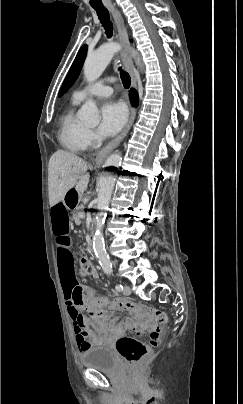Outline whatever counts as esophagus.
Segmentation results:
<instances>
[{
	"label": "esophagus",
	"mask_w": 243,
	"mask_h": 404,
	"mask_svg": "<svg viewBox=\"0 0 243 404\" xmlns=\"http://www.w3.org/2000/svg\"><path fill=\"white\" fill-rule=\"evenodd\" d=\"M108 8L113 15V18H114V21H115V24L117 27L118 40L123 45V50L121 52L122 62L131 76L133 88H137L136 71L134 69L133 62L126 49V47L128 45L127 28L125 26L123 17L121 15V13L119 12V10H117V8H115L114 6H111ZM135 118H136V109L133 108L131 110V114L128 119V122L126 123V125H125L124 129L122 130V132L120 133V135H118V137H116L115 139L111 140V142H109L107 145H105V147H103L97 153L96 158H95V162L97 165L102 164L105 157L109 154V152L111 150H113L115 147H117V145H119L120 142L126 137L130 128L132 127V124H133Z\"/></svg>",
	"instance_id": "1"
}]
</instances>
